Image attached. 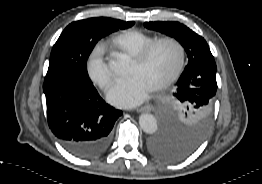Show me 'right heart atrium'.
Here are the masks:
<instances>
[{
  "label": "right heart atrium",
  "mask_w": 262,
  "mask_h": 184,
  "mask_svg": "<svg viewBox=\"0 0 262 184\" xmlns=\"http://www.w3.org/2000/svg\"><path fill=\"white\" fill-rule=\"evenodd\" d=\"M102 45H96L90 52L86 71L90 81L101 90L107 91L115 80V75L109 60L104 56Z\"/></svg>",
  "instance_id": "d8ad5b80"
}]
</instances>
